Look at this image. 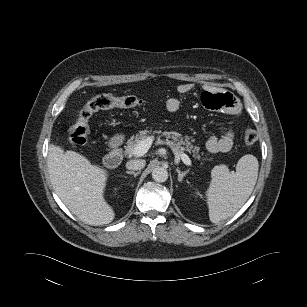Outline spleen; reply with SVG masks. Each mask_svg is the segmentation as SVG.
Instances as JSON below:
<instances>
[{"mask_svg":"<svg viewBox=\"0 0 307 307\" xmlns=\"http://www.w3.org/2000/svg\"><path fill=\"white\" fill-rule=\"evenodd\" d=\"M259 163L255 156H242L236 172L222 165L212 170V180L206 192L209 218L219 223L233 216L251 195L258 178Z\"/></svg>","mask_w":307,"mask_h":307,"instance_id":"spleen-1","label":"spleen"}]
</instances>
